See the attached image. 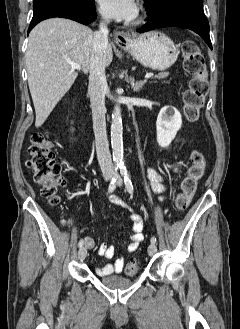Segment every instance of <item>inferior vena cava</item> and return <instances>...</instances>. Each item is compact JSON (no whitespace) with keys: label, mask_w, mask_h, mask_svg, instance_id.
I'll return each instance as SVG.
<instances>
[{"label":"inferior vena cava","mask_w":240,"mask_h":329,"mask_svg":"<svg viewBox=\"0 0 240 329\" xmlns=\"http://www.w3.org/2000/svg\"><path fill=\"white\" fill-rule=\"evenodd\" d=\"M108 23L109 21L106 19L102 21L100 23L99 30L96 31L92 37L88 87V93L91 101L97 158L103 175L114 174V166L112 164L111 155L109 152L105 122V92L107 90V81L105 76V54L108 46Z\"/></svg>","instance_id":"602c4592"}]
</instances>
